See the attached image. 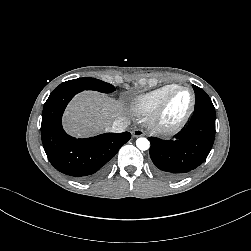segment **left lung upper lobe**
Returning a JSON list of instances; mask_svg holds the SVG:
<instances>
[{
    "label": "left lung upper lobe",
    "instance_id": "1",
    "mask_svg": "<svg viewBox=\"0 0 251 251\" xmlns=\"http://www.w3.org/2000/svg\"><path fill=\"white\" fill-rule=\"evenodd\" d=\"M196 94L195 110L204 109L207 111L215 112L214 105L209 96L201 88L193 85Z\"/></svg>",
    "mask_w": 251,
    "mask_h": 251
}]
</instances>
